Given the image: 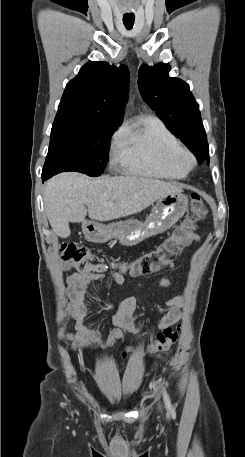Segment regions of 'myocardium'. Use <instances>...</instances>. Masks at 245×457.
Wrapping results in <instances>:
<instances>
[{
  "instance_id": "myocardium-1",
  "label": "myocardium",
  "mask_w": 245,
  "mask_h": 457,
  "mask_svg": "<svg viewBox=\"0 0 245 457\" xmlns=\"http://www.w3.org/2000/svg\"><path fill=\"white\" fill-rule=\"evenodd\" d=\"M163 160L168 163H172L176 166L182 167L185 170L192 169L196 164L194 155L185 147L180 146L179 148L167 153Z\"/></svg>"
}]
</instances>
